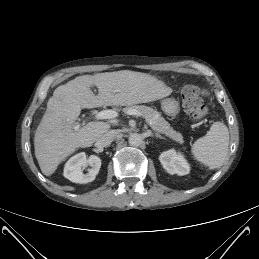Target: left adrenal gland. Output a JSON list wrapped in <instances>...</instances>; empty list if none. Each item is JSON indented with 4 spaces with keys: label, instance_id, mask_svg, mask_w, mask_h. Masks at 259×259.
I'll use <instances>...</instances> for the list:
<instances>
[{
    "label": "left adrenal gland",
    "instance_id": "left-adrenal-gland-1",
    "mask_svg": "<svg viewBox=\"0 0 259 259\" xmlns=\"http://www.w3.org/2000/svg\"><path fill=\"white\" fill-rule=\"evenodd\" d=\"M155 137H156V138H159V139H165L164 137H162V136L159 135V134H155Z\"/></svg>",
    "mask_w": 259,
    "mask_h": 259
}]
</instances>
